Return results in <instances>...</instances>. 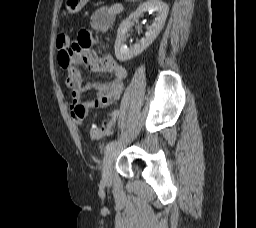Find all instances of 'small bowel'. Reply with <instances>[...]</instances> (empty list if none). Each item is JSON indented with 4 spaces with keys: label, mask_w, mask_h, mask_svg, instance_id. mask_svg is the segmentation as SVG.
I'll use <instances>...</instances> for the list:
<instances>
[{
    "label": "small bowel",
    "mask_w": 256,
    "mask_h": 228,
    "mask_svg": "<svg viewBox=\"0 0 256 228\" xmlns=\"http://www.w3.org/2000/svg\"><path fill=\"white\" fill-rule=\"evenodd\" d=\"M122 11L119 4L98 8L90 18L91 27L98 32H106L111 27L115 17ZM97 41L89 30H81L77 39L68 49H59L58 60L66 72L65 84L71 92V117L76 125H81L88 114L97 108L108 107L117 101L124 90V80L127 77L126 69L110 54L96 56ZM84 66L92 72L105 71L114 75V80L105 82H86L81 67ZM94 90L95 95L84 100V95ZM114 121L108 123L110 132Z\"/></svg>",
    "instance_id": "small-bowel-1"
}]
</instances>
